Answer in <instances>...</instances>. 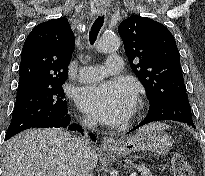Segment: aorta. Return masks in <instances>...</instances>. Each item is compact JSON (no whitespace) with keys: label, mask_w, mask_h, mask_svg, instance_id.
I'll return each instance as SVG.
<instances>
[{"label":"aorta","mask_w":205,"mask_h":176,"mask_svg":"<svg viewBox=\"0 0 205 176\" xmlns=\"http://www.w3.org/2000/svg\"><path fill=\"white\" fill-rule=\"evenodd\" d=\"M120 46V39L116 35L107 34L103 36L97 46L98 51L100 52H114Z\"/></svg>","instance_id":"762f6f07"}]
</instances>
